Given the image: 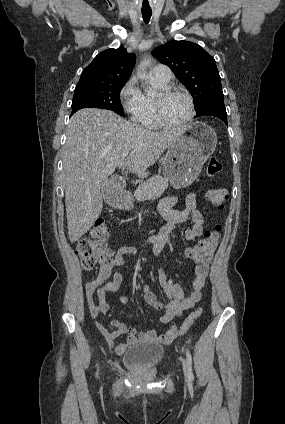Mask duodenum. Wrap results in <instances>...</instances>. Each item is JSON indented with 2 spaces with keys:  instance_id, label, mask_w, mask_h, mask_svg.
I'll use <instances>...</instances> for the list:
<instances>
[{
  "instance_id": "obj_1",
  "label": "duodenum",
  "mask_w": 285,
  "mask_h": 424,
  "mask_svg": "<svg viewBox=\"0 0 285 424\" xmlns=\"http://www.w3.org/2000/svg\"><path fill=\"white\" fill-rule=\"evenodd\" d=\"M124 186H125V181L122 177H120V176L112 177V179H111V189L114 193L123 190Z\"/></svg>"
}]
</instances>
